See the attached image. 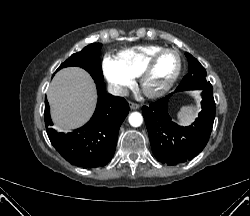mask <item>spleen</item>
I'll list each match as a JSON object with an SVG mask.
<instances>
[{
    "instance_id": "3e777b00",
    "label": "spleen",
    "mask_w": 250,
    "mask_h": 216,
    "mask_svg": "<svg viewBox=\"0 0 250 216\" xmlns=\"http://www.w3.org/2000/svg\"><path fill=\"white\" fill-rule=\"evenodd\" d=\"M195 108L185 106L178 113V118L181 123L188 124L195 118Z\"/></svg>"
}]
</instances>
